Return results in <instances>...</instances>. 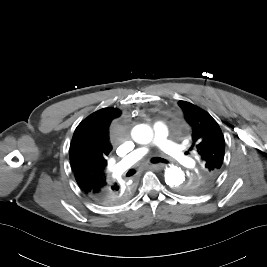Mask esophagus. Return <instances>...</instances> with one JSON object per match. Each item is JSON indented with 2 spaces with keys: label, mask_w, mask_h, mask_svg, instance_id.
Wrapping results in <instances>:
<instances>
[{
  "label": "esophagus",
  "mask_w": 267,
  "mask_h": 267,
  "mask_svg": "<svg viewBox=\"0 0 267 267\" xmlns=\"http://www.w3.org/2000/svg\"><path fill=\"white\" fill-rule=\"evenodd\" d=\"M149 167L154 170H161L163 169L164 165L163 164H151L149 165Z\"/></svg>",
  "instance_id": "1"
}]
</instances>
